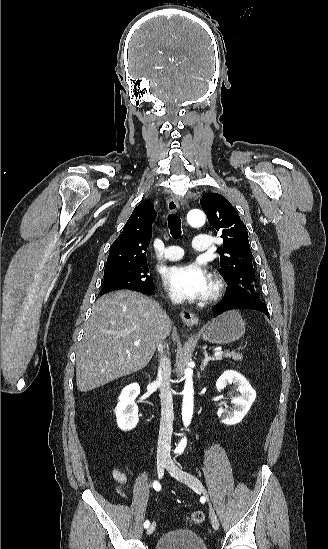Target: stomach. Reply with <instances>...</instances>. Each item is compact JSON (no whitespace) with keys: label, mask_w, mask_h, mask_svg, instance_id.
<instances>
[{"label":"stomach","mask_w":328,"mask_h":549,"mask_svg":"<svg viewBox=\"0 0 328 549\" xmlns=\"http://www.w3.org/2000/svg\"><path fill=\"white\" fill-rule=\"evenodd\" d=\"M246 325L238 311H226L213 319L203 333V341L226 345L238 341L245 335Z\"/></svg>","instance_id":"1"}]
</instances>
